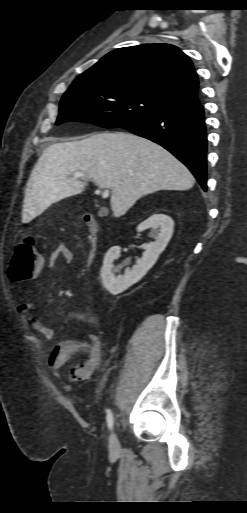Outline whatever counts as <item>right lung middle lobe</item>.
Returning <instances> with one entry per match:
<instances>
[{
  "instance_id": "1",
  "label": "right lung middle lobe",
  "mask_w": 247,
  "mask_h": 513,
  "mask_svg": "<svg viewBox=\"0 0 247 513\" xmlns=\"http://www.w3.org/2000/svg\"><path fill=\"white\" fill-rule=\"evenodd\" d=\"M166 108L168 106L159 100L126 89L83 87L73 82L61 99L56 124L82 121L118 128Z\"/></svg>"
}]
</instances>
